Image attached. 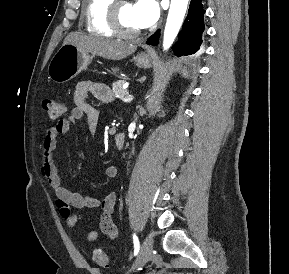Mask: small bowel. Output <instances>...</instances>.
Returning <instances> with one entry per match:
<instances>
[{
	"mask_svg": "<svg viewBox=\"0 0 289 274\" xmlns=\"http://www.w3.org/2000/svg\"><path fill=\"white\" fill-rule=\"evenodd\" d=\"M89 96H93L101 101L109 102L112 100L111 91L108 86L91 80L79 82L75 89L74 107L71 110L70 116L61 119L51 126L43 140L40 170L46 182L54 190L56 207L68 227L72 228L80 221L81 217L76 211L100 208V230L110 239H115L118 236V229L113 220L114 206L117 198L116 193L110 192L100 200L95 197L72 192L62 186L55 163L58 138L70 130L72 123L86 117L89 132L91 134L95 133L99 121V112L89 103ZM117 174L118 168L114 165L108 166L105 170V175L108 179L116 178ZM97 237L98 232L92 229L87 233L85 239L87 242H93Z\"/></svg>",
	"mask_w": 289,
	"mask_h": 274,
	"instance_id": "1",
	"label": "small bowel"
}]
</instances>
